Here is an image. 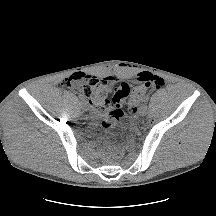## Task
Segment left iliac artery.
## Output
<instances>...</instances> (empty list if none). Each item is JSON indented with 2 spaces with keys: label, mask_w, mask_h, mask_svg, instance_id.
I'll return each mask as SVG.
<instances>
[{
  "label": "left iliac artery",
  "mask_w": 216,
  "mask_h": 216,
  "mask_svg": "<svg viewBox=\"0 0 216 216\" xmlns=\"http://www.w3.org/2000/svg\"><path fill=\"white\" fill-rule=\"evenodd\" d=\"M143 103H144L145 105H146V104H149V103H150V98H148V97L145 98Z\"/></svg>",
  "instance_id": "obj_1"
}]
</instances>
